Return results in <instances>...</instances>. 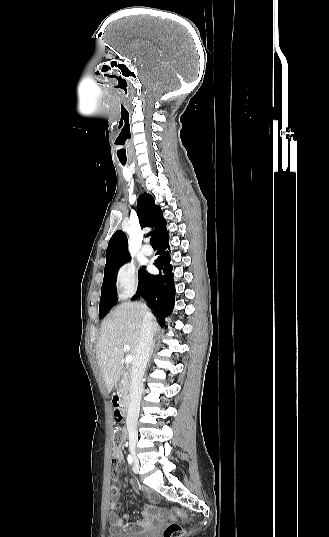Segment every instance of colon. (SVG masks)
<instances>
[{
  "label": "colon",
  "instance_id": "5ec220e1",
  "mask_svg": "<svg viewBox=\"0 0 329 537\" xmlns=\"http://www.w3.org/2000/svg\"><path fill=\"white\" fill-rule=\"evenodd\" d=\"M126 433L125 430L119 426L115 425L112 432V440L115 447H121L125 441ZM185 513L182 510H171L169 512V517L171 519H182L184 518ZM183 529L182 527L175 522L169 523L164 531L163 537H182Z\"/></svg>",
  "mask_w": 329,
  "mask_h": 537
}]
</instances>
